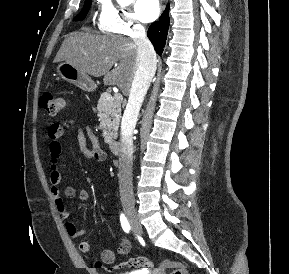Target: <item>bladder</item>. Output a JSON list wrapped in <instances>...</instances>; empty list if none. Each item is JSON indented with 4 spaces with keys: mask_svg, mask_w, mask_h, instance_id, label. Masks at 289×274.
Here are the masks:
<instances>
[{
    "mask_svg": "<svg viewBox=\"0 0 289 274\" xmlns=\"http://www.w3.org/2000/svg\"><path fill=\"white\" fill-rule=\"evenodd\" d=\"M119 274H146V273H143L142 271H130V272H122Z\"/></svg>",
    "mask_w": 289,
    "mask_h": 274,
    "instance_id": "31cf9c89",
    "label": "bladder"
}]
</instances>
